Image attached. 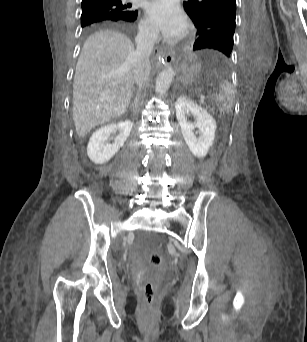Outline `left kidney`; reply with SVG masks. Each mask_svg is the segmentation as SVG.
<instances>
[{"mask_svg":"<svg viewBox=\"0 0 307 342\" xmlns=\"http://www.w3.org/2000/svg\"><path fill=\"white\" fill-rule=\"evenodd\" d=\"M176 120L181 128L182 136L192 154L196 158H205L215 138L217 128L216 120L207 110L193 104L184 96L177 98L175 102ZM187 116H193L195 122H188ZM198 128L200 136H196L193 130Z\"/></svg>","mask_w":307,"mask_h":342,"instance_id":"left-kidney-1","label":"left kidney"}]
</instances>
